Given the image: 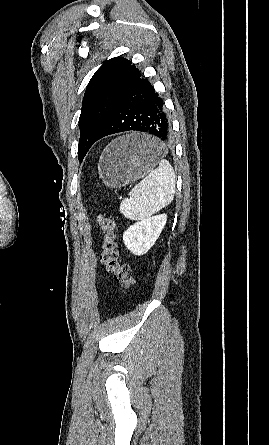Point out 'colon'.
I'll return each instance as SVG.
<instances>
[{"mask_svg":"<svg viewBox=\"0 0 269 445\" xmlns=\"http://www.w3.org/2000/svg\"><path fill=\"white\" fill-rule=\"evenodd\" d=\"M97 225L103 232L101 262L120 284L122 293L125 294L135 284V278L132 276L130 266L119 261L116 221L111 216L102 214L97 217Z\"/></svg>","mask_w":269,"mask_h":445,"instance_id":"1","label":"colon"}]
</instances>
